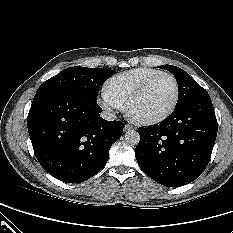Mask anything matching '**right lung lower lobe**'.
<instances>
[{
  "mask_svg": "<svg viewBox=\"0 0 233 233\" xmlns=\"http://www.w3.org/2000/svg\"><path fill=\"white\" fill-rule=\"evenodd\" d=\"M97 101L60 90L32 103L27 126L35 156L53 177L79 183L106 164L125 124L106 121Z\"/></svg>",
  "mask_w": 233,
  "mask_h": 233,
  "instance_id": "1",
  "label": "right lung lower lobe"
}]
</instances>
